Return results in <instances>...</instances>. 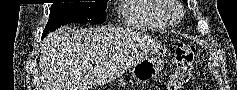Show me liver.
<instances>
[{
    "label": "liver",
    "instance_id": "6515ba94",
    "mask_svg": "<svg viewBox=\"0 0 237 90\" xmlns=\"http://www.w3.org/2000/svg\"><path fill=\"white\" fill-rule=\"evenodd\" d=\"M118 38L114 28H60L43 42L40 68L44 90H89L101 76L118 66ZM92 64H96L93 68Z\"/></svg>",
    "mask_w": 237,
    "mask_h": 90
}]
</instances>
